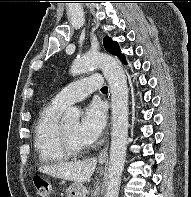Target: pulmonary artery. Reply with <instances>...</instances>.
Segmentation results:
<instances>
[{"mask_svg":"<svg viewBox=\"0 0 191 197\" xmlns=\"http://www.w3.org/2000/svg\"><path fill=\"white\" fill-rule=\"evenodd\" d=\"M102 87V77L98 74L74 81L57 93L52 102L65 108L75 102L81 101L92 92Z\"/></svg>","mask_w":191,"mask_h":197,"instance_id":"e3ab8cb5","label":"pulmonary artery"}]
</instances>
